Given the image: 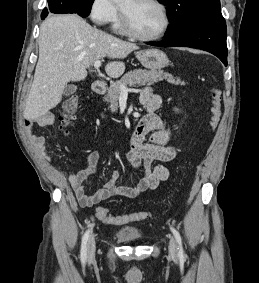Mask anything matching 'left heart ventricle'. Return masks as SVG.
<instances>
[{"label": "left heart ventricle", "mask_w": 259, "mask_h": 283, "mask_svg": "<svg viewBox=\"0 0 259 283\" xmlns=\"http://www.w3.org/2000/svg\"><path fill=\"white\" fill-rule=\"evenodd\" d=\"M120 6L127 12L134 29L140 34H159L165 24L160 8L147 0H122Z\"/></svg>", "instance_id": "obj_1"}]
</instances>
